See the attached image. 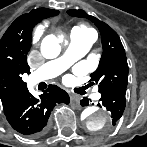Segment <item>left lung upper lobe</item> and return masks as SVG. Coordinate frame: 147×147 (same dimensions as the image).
<instances>
[{"label":"left lung upper lobe","instance_id":"1","mask_svg":"<svg viewBox=\"0 0 147 147\" xmlns=\"http://www.w3.org/2000/svg\"><path fill=\"white\" fill-rule=\"evenodd\" d=\"M71 16L84 17L91 20L101 33L103 54L99 66L91 74L92 80L99 83V92L112 87H127L128 64L126 54L117 33L106 23L83 10H68Z\"/></svg>","mask_w":147,"mask_h":147}]
</instances>
